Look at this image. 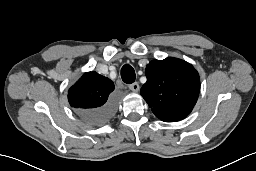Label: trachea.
<instances>
[{
	"instance_id": "obj_1",
	"label": "trachea",
	"mask_w": 256,
	"mask_h": 171,
	"mask_svg": "<svg viewBox=\"0 0 256 171\" xmlns=\"http://www.w3.org/2000/svg\"><path fill=\"white\" fill-rule=\"evenodd\" d=\"M121 78L126 84H131L136 79V74L133 67L129 64H125L121 68Z\"/></svg>"
}]
</instances>
